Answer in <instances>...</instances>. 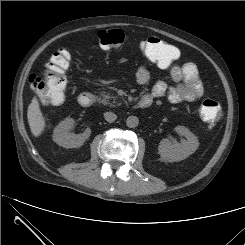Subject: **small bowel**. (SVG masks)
Masks as SVG:
<instances>
[{
    "mask_svg": "<svg viewBox=\"0 0 245 245\" xmlns=\"http://www.w3.org/2000/svg\"><path fill=\"white\" fill-rule=\"evenodd\" d=\"M169 71L173 84L168 85L164 81H158L146 91L144 97H149L151 100L166 97L173 104L192 102L201 98L203 84L195 64L173 65ZM136 80L140 85H148L150 71L146 66L143 65L138 68Z\"/></svg>",
    "mask_w": 245,
    "mask_h": 245,
    "instance_id": "c3829d8e",
    "label": "small bowel"
}]
</instances>
